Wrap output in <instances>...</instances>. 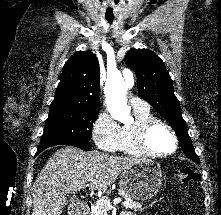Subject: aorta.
Returning <instances> with one entry per match:
<instances>
[{"mask_svg":"<svg viewBox=\"0 0 221 215\" xmlns=\"http://www.w3.org/2000/svg\"><path fill=\"white\" fill-rule=\"evenodd\" d=\"M133 85V78L125 81L119 72L108 75L105 83L104 93L108 111L112 118L125 124L133 121L126 99L128 88Z\"/></svg>","mask_w":221,"mask_h":215,"instance_id":"762f6f07","label":"aorta"}]
</instances>
